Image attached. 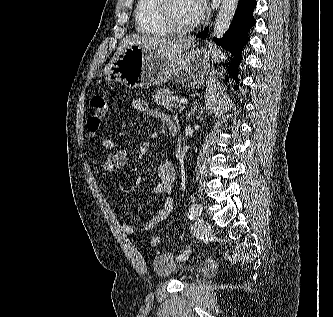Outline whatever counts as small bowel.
Returning a JSON list of instances; mask_svg holds the SVG:
<instances>
[{
  "label": "small bowel",
  "mask_w": 333,
  "mask_h": 317,
  "mask_svg": "<svg viewBox=\"0 0 333 317\" xmlns=\"http://www.w3.org/2000/svg\"><path fill=\"white\" fill-rule=\"evenodd\" d=\"M131 106L135 111L154 117L166 126L171 120L163 112L149 107L148 104L142 99H134L131 102ZM100 144L105 150L109 151V154L102 166V173L105 176H110L116 170L125 167L128 161V152L126 149L120 147L115 140L108 137L101 138ZM157 176L159 182L153 187L152 193L155 195H162L164 197L162 208L155 216L148 219L140 229L135 228L131 224L123 223L121 228L126 234L132 235L137 232H147L165 221L171 215L174 209V201L171 195L176 179V169L173 162L170 160L162 162L157 168Z\"/></svg>",
  "instance_id": "1"
}]
</instances>
